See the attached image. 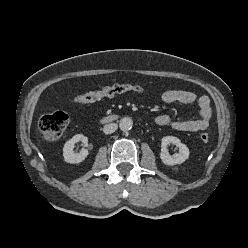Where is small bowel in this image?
I'll list each match as a JSON object with an SVG mask.
<instances>
[{
	"label": "small bowel",
	"mask_w": 248,
	"mask_h": 248,
	"mask_svg": "<svg viewBox=\"0 0 248 248\" xmlns=\"http://www.w3.org/2000/svg\"><path fill=\"white\" fill-rule=\"evenodd\" d=\"M161 100L166 104L196 103L199 108L200 117L197 119L175 120L169 115L161 114L155 118L159 126H170L182 132H197L207 129L212 118V108L210 99L207 96H197L188 90H166L160 95Z\"/></svg>",
	"instance_id": "1"
}]
</instances>
